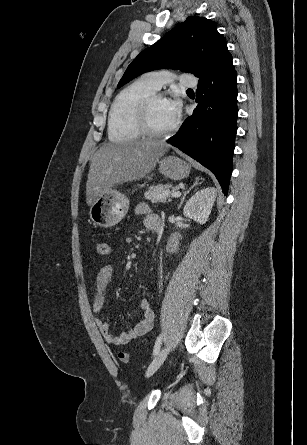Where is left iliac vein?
Instances as JSON below:
<instances>
[{
    "instance_id": "1",
    "label": "left iliac vein",
    "mask_w": 307,
    "mask_h": 445,
    "mask_svg": "<svg viewBox=\"0 0 307 445\" xmlns=\"http://www.w3.org/2000/svg\"><path fill=\"white\" fill-rule=\"evenodd\" d=\"M168 353H169V347H165L154 357V359L152 360V362L150 363V365L146 371L147 377L153 375L158 370V368L165 361Z\"/></svg>"
}]
</instances>
